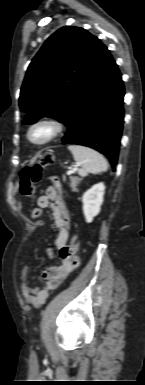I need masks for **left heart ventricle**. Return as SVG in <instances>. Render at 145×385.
Segmentation results:
<instances>
[{
	"label": "left heart ventricle",
	"instance_id": "1",
	"mask_svg": "<svg viewBox=\"0 0 145 385\" xmlns=\"http://www.w3.org/2000/svg\"><path fill=\"white\" fill-rule=\"evenodd\" d=\"M47 135V130L45 129H39L36 132H34L33 137L36 140H40L44 138Z\"/></svg>",
	"mask_w": 145,
	"mask_h": 385
}]
</instances>
